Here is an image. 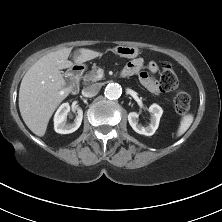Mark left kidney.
<instances>
[{"label":"left kidney","instance_id":"obj_1","mask_svg":"<svg viewBox=\"0 0 222 222\" xmlns=\"http://www.w3.org/2000/svg\"><path fill=\"white\" fill-rule=\"evenodd\" d=\"M148 111L151 114L150 124L148 126L143 127L138 123L139 114L136 112H130L128 114V121L133 130L138 134L151 136L155 133L159 126V121L163 114V110L158 104H152Z\"/></svg>","mask_w":222,"mask_h":222}]
</instances>
